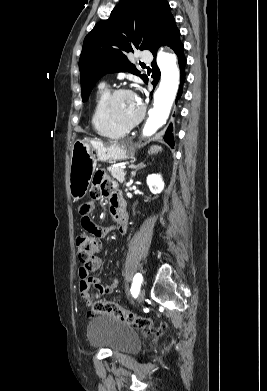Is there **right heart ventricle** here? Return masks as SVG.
I'll return each mask as SVG.
<instances>
[{"mask_svg": "<svg viewBox=\"0 0 267 391\" xmlns=\"http://www.w3.org/2000/svg\"><path fill=\"white\" fill-rule=\"evenodd\" d=\"M109 93L110 90L103 87H101L97 92L92 110L91 121L95 131L99 135L116 139L124 136L126 131L112 125L105 115L104 105Z\"/></svg>", "mask_w": 267, "mask_h": 391, "instance_id": "obj_1", "label": "right heart ventricle"}]
</instances>
